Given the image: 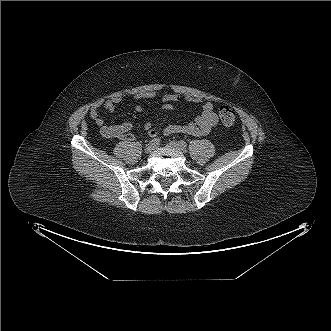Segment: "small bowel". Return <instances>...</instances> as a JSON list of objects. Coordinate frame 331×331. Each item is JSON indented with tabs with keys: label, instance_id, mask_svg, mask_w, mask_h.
Here are the masks:
<instances>
[{
	"label": "small bowel",
	"instance_id": "obj_1",
	"mask_svg": "<svg viewBox=\"0 0 331 331\" xmlns=\"http://www.w3.org/2000/svg\"><path fill=\"white\" fill-rule=\"evenodd\" d=\"M156 97L154 91H143L133 96L134 101H140L144 99H153ZM185 101L193 104L201 105V113L197 115L192 122L187 124H170L163 129L164 135L171 134H187L196 137H202L210 133V131L218 123V117L214 112V105L210 101H205L202 98H198L191 95L184 97ZM181 96L177 93H167L160 97V102L163 109L171 110L175 107V104L180 102ZM122 101L121 96H114L105 100H100L94 104L91 109L90 116L94 123L100 127L101 134L106 138H121L127 141H132L135 136L131 133L133 124L128 121L121 122L117 125H105L103 118L100 116V109L103 108L107 112L112 113L115 106ZM135 111L142 113L144 108L141 105L135 106ZM144 129L151 137L158 135L157 130L154 128L150 121L144 124Z\"/></svg>",
	"mask_w": 331,
	"mask_h": 331
}]
</instances>
